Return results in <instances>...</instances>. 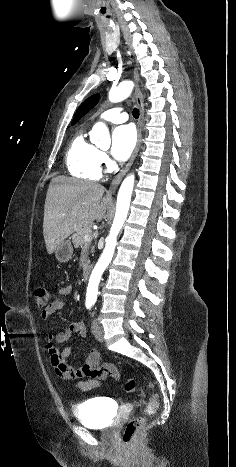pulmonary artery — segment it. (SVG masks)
I'll return each instance as SVG.
<instances>
[{"instance_id":"1","label":"pulmonary artery","mask_w":236,"mask_h":467,"mask_svg":"<svg viewBox=\"0 0 236 467\" xmlns=\"http://www.w3.org/2000/svg\"><path fill=\"white\" fill-rule=\"evenodd\" d=\"M98 118L112 123H122L127 121L128 115L126 111L120 108H110L102 112Z\"/></svg>"}]
</instances>
